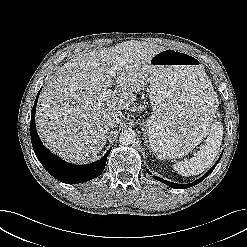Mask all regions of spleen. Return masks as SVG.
<instances>
[{
    "mask_svg": "<svg viewBox=\"0 0 247 247\" xmlns=\"http://www.w3.org/2000/svg\"><path fill=\"white\" fill-rule=\"evenodd\" d=\"M207 134L206 142L200 146V150L193 157L173 165V169L178 174L185 177L199 175L213 164L223 137L222 123L219 121L211 123Z\"/></svg>",
    "mask_w": 247,
    "mask_h": 247,
    "instance_id": "3e777b00",
    "label": "spleen"
}]
</instances>
